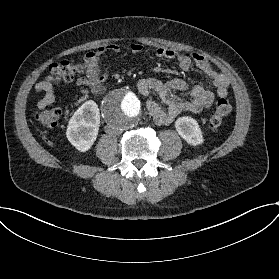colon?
I'll list each match as a JSON object with an SVG mask.
<instances>
[{"label":"colon","mask_w":279,"mask_h":279,"mask_svg":"<svg viewBox=\"0 0 279 279\" xmlns=\"http://www.w3.org/2000/svg\"><path fill=\"white\" fill-rule=\"evenodd\" d=\"M83 65L76 60H64L49 66L50 74L56 81H66L83 72ZM232 109L230 101L221 98L216 105L215 112L210 118L209 127L218 128L228 117ZM59 109L54 105H48L44 109L34 112V118L43 128H52L57 124Z\"/></svg>","instance_id":"obj_1"}]
</instances>
